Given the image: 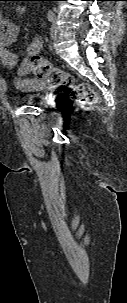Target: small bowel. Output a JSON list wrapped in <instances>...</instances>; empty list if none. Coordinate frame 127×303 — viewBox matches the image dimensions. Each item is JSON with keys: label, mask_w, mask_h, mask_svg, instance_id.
<instances>
[{"label": "small bowel", "mask_w": 127, "mask_h": 303, "mask_svg": "<svg viewBox=\"0 0 127 303\" xmlns=\"http://www.w3.org/2000/svg\"><path fill=\"white\" fill-rule=\"evenodd\" d=\"M20 27L14 21L6 19L0 12V63L9 70H15L17 78L14 81L15 87L24 92L37 91L43 88L44 81L35 75V70L30 62L32 54H39L43 41L40 37L27 47L26 56L19 61L16 52L9 49L18 38Z\"/></svg>", "instance_id": "obj_1"}]
</instances>
